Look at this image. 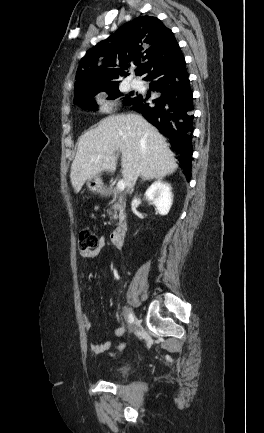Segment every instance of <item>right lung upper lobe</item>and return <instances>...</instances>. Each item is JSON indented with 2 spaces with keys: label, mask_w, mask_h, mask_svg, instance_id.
<instances>
[{
  "label": "right lung upper lobe",
  "mask_w": 264,
  "mask_h": 433,
  "mask_svg": "<svg viewBox=\"0 0 264 433\" xmlns=\"http://www.w3.org/2000/svg\"><path fill=\"white\" fill-rule=\"evenodd\" d=\"M181 54L170 29L158 18L139 16L121 26L81 59L76 73L74 102L118 86L131 63L136 75H147L154 67Z\"/></svg>",
  "instance_id": "cb5924a9"
}]
</instances>
